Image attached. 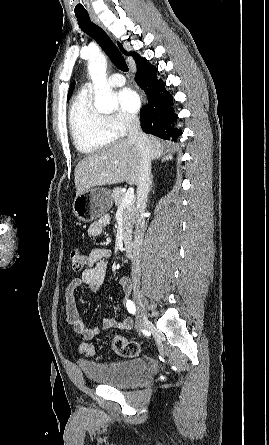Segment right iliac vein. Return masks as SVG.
<instances>
[{"label":"right iliac vein","instance_id":"right-iliac-vein-1","mask_svg":"<svg viewBox=\"0 0 269 445\" xmlns=\"http://www.w3.org/2000/svg\"><path fill=\"white\" fill-rule=\"evenodd\" d=\"M134 301L137 308V328L140 331L142 328H145L148 325L149 321L145 314L143 298L137 289L134 291Z\"/></svg>","mask_w":269,"mask_h":445}]
</instances>
